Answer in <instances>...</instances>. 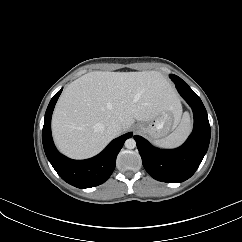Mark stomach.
I'll return each instance as SVG.
<instances>
[{"mask_svg":"<svg viewBox=\"0 0 242 242\" xmlns=\"http://www.w3.org/2000/svg\"><path fill=\"white\" fill-rule=\"evenodd\" d=\"M179 117L168 111L163 112L149 123L141 125V129L152 140H157L166 136L177 126Z\"/></svg>","mask_w":242,"mask_h":242,"instance_id":"1","label":"stomach"}]
</instances>
